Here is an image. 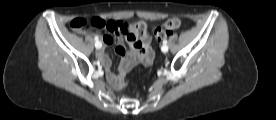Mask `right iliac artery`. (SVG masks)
I'll use <instances>...</instances> for the list:
<instances>
[{
  "mask_svg": "<svg viewBox=\"0 0 276 120\" xmlns=\"http://www.w3.org/2000/svg\"><path fill=\"white\" fill-rule=\"evenodd\" d=\"M94 39H95V41H96L95 47H96V48H101V47H102V44H101V43H97L98 40H99V38H98L97 36H95Z\"/></svg>",
  "mask_w": 276,
  "mask_h": 120,
  "instance_id": "82829eb1",
  "label": "right iliac artery"
}]
</instances>
